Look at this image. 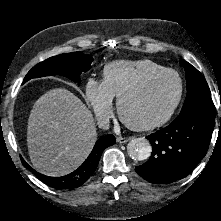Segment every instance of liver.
<instances>
[{"label":"liver","instance_id":"6515ba94","mask_svg":"<svg viewBox=\"0 0 221 221\" xmlns=\"http://www.w3.org/2000/svg\"><path fill=\"white\" fill-rule=\"evenodd\" d=\"M93 115L73 93L55 88L33 105L27 125V144L33 167L47 176L77 169L96 142Z\"/></svg>","mask_w":221,"mask_h":221}]
</instances>
